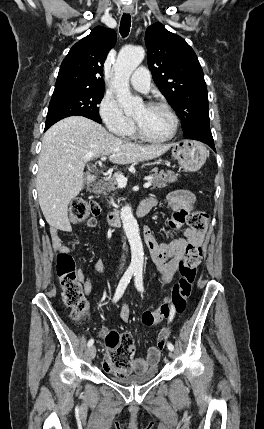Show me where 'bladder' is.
Listing matches in <instances>:
<instances>
[{
    "mask_svg": "<svg viewBox=\"0 0 264 429\" xmlns=\"http://www.w3.org/2000/svg\"><path fill=\"white\" fill-rule=\"evenodd\" d=\"M158 374L157 367L150 368L147 372L142 374H132L128 376H112V380L121 385H137L143 384L153 380Z\"/></svg>",
    "mask_w": 264,
    "mask_h": 429,
    "instance_id": "31cf9c89",
    "label": "bladder"
}]
</instances>
